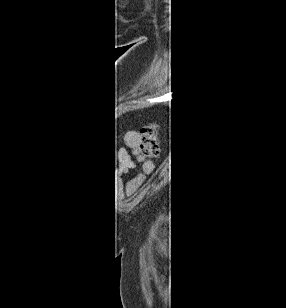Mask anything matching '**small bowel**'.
I'll return each instance as SVG.
<instances>
[{
    "label": "small bowel",
    "mask_w": 286,
    "mask_h": 308,
    "mask_svg": "<svg viewBox=\"0 0 286 308\" xmlns=\"http://www.w3.org/2000/svg\"><path fill=\"white\" fill-rule=\"evenodd\" d=\"M137 138H138V134L134 131H128L125 136V140L130 146H134L136 144ZM128 164L132 166V162L130 159H129ZM143 168H144V171H146L147 173H150L152 171L150 162H145L143 164Z\"/></svg>",
    "instance_id": "obj_1"
}]
</instances>
